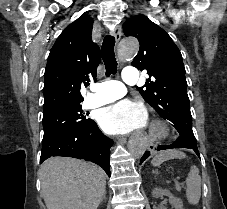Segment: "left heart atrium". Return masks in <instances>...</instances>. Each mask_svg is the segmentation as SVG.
<instances>
[{
  "mask_svg": "<svg viewBox=\"0 0 227 209\" xmlns=\"http://www.w3.org/2000/svg\"><path fill=\"white\" fill-rule=\"evenodd\" d=\"M97 120L105 132L125 135L144 128L148 121V114L142 101L122 99L103 108Z\"/></svg>",
  "mask_w": 227,
  "mask_h": 209,
  "instance_id": "obj_1",
  "label": "left heart atrium"
}]
</instances>
